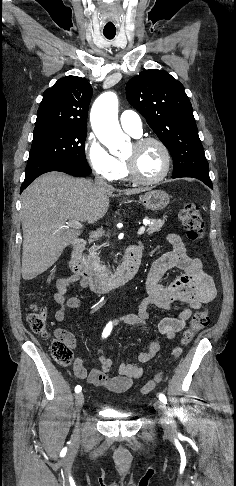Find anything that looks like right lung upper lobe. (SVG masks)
<instances>
[{
    "instance_id": "right-lung-upper-lobe-1",
    "label": "right lung upper lobe",
    "mask_w": 236,
    "mask_h": 486,
    "mask_svg": "<svg viewBox=\"0 0 236 486\" xmlns=\"http://www.w3.org/2000/svg\"><path fill=\"white\" fill-rule=\"evenodd\" d=\"M92 92L85 78L66 76L59 79L43 93L35 128L86 129Z\"/></svg>"
}]
</instances>
